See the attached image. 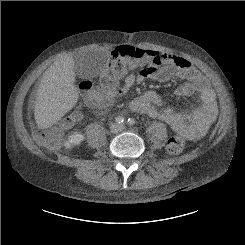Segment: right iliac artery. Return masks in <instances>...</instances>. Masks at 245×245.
Segmentation results:
<instances>
[{"mask_svg": "<svg viewBox=\"0 0 245 245\" xmlns=\"http://www.w3.org/2000/svg\"><path fill=\"white\" fill-rule=\"evenodd\" d=\"M115 121H116V123L121 124L124 122V118L122 116H118V117H116Z\"/></svg>", "mask_w": 245, "mask_h": 245, "instance_id": "obj_1", "label": "right iliac artery"}]
</instances>
